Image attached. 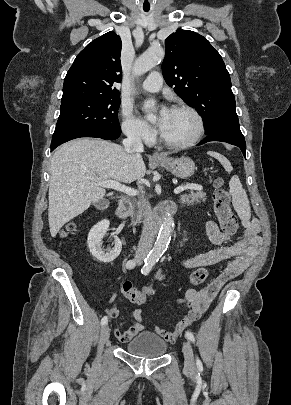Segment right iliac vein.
Returning a JSON list of instances; mask_svg holds the SVG:
<instances>
[{
  "label": "right iliac vein",
  "instance_id": "obj_1",
  "mask_svg": "<svg viewBox=\"0 0 291 405\" xmlns=\"http://www.w3.org/2000/svg\"><path fill=\"white\" fill-rule=\"evenodd\" d=\"M110 335V329L107 324H105L100 332V340H99V346L101 347L109 338Z\"/></svg>",
  "mask_w": 291,
  "mask_h": 405
}]
</instances>
